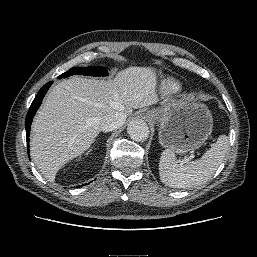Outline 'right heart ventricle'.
<instances>
[{"label":"right heart ventricle","instance_id":"e07e8e85","mask_svg":"<svg viewBox=\"0 0 257 257\" xmlns=\"http://www.w3.org/2000/svg\"><path fill=\"white\" fill-rule=\"evenodd\" d=\"M164 88L168 93L173 94V93L179 92L181 89V86L177 82L169 79L165 81Z\"/></svg>","mask_w":257,"mask_h":257}]
</instances>
